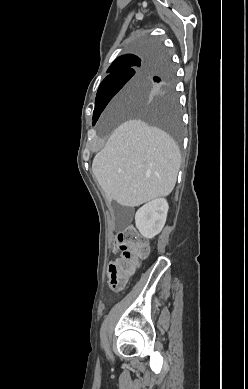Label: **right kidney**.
Returning a JSON list of instances; mask_svg holds the SVG:
<instances>
[{"label":"right kidney","instance_id":"1","mask_svg":"<svg viewBox=\"0 0 248 389\" xmlns=\"http://www.w3.org/2000/svg\"><path fill=\"white\" fill-rule=\"evenodd\" d=\"M168 209L167 200L164 198L154 199L138 209L135 214V224L143 237L152 239L161 232Z\"/></svg>","mask_w":248,"mask_h":389}]
</instances>
